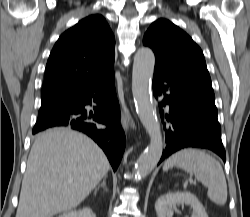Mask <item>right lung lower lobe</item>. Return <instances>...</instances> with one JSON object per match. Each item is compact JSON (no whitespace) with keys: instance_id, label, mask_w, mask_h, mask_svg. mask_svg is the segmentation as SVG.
Segmentation results:
<instances>
[{"instance_id":"right-lung-lower-lobe-1","label":"right lung lower lobe","mask_w":250,"mask_h":217,"mask_svg":"<svg viewBox=\"0 0 250 217\" xmlns=\"http://www.w3.org/2000/svg\"><path fill=\"white\" fill-rule=\"evenodd\" d=\"M94 103L97 106L93 112L85 109ZM97 124L106 125V129ZM48 128H70L87 134L103 149L115 171L124 152L125 134L120 124L114 72L89 87L42 103L32 133Z\"/></svg>"}]
</instances>
